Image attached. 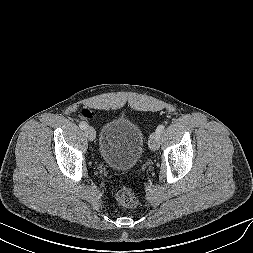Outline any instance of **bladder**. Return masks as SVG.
Wrapping results in <instances>:
<instances>
[{
    "instance_id": "31cf9c89",
    "label": "bladder",
    "mask_w": 253,
    "mask_h": 253,
    "mask_svg": "<svg viewBox=\"0 0 253 253\" xmlns=\"http://www.w3.org/2000/svg\"><path fill=\"white\" fill-rule=\"evenodd\" d=\"M145 139L142 131L127 117L107 121L98 138L99 155L110 168L132 170L140 160Z\"/></svg>"
}]
</instances>
